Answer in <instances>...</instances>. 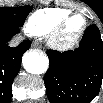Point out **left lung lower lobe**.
<instances>
[{"label": "left lung lower lobe", "instance_id": "1", "mask_svg": "<svg viewBox=\"0 0 103 103\" xmlns=\"http://www.w3.org/2000/svg\"><path fill=\"white\" fill-rule=\"evenodd\" d=\"M47 55L44 83L51 103H89L96 97L103 81V41L96 25L86 29L79 48Z\"/></svg>", "mask_w": 103, "mask_h": 103}]
</instances>
